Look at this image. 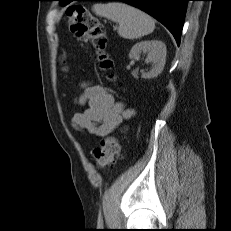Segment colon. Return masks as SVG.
I'll list each match as a JSON object with an SVG mask.
<instances>
[{
  "mask_svg": "<svg viewBox=\"0 0 231 231\" xmlns=\"http://www.w3.org/2000/svg\"><path fill=\"white\" fill-rule=\"evenodd\" d=\"M67 15L71 32L77 38L89 42L96 51L101 68L110 70L113 62L106 52L107 36L98 19L85 6L79 4L70 5L67 8ZM119 152L118 140L113 136H109L94 148L93 157L96 165L104 168L115 161Z\"/></svg>",
  "mask_w": 231,
  "mask_h": 231,
  "instance_id": "obj_1",
  "label": "colon"
}]
</instances>
